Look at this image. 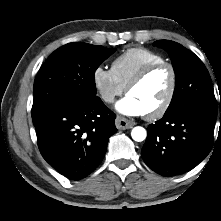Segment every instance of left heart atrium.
<instances>
[{
	"mask_svg": "<svg viewBox=\"0 0 221 221\" xmlns=\"http://www.w3.org/2000/svg\"><path fill=\"white\" fill-rule=\"evenodd\" d=\"M116 109L120 113L129 116H140L146 114L141 103L129 94L116 104Z\"/></svg>",
	"mask_w": 221,
	"mask_h": 221,
	"instance_id": "obj_1",
	"label": "left heart atrium"
}]
</instances>
